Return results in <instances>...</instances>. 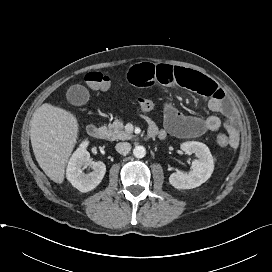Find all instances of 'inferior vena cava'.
<instances>
[{
    "instance_id": "1",
    "label": "inferior vena cava",
    "mask_w": 272,
    "mask_h": 272,
    "mask_svg": "<svg viewBox=\"0 0 272 272\" xmlns=\"http://www.w3.org/2000/svg\"><path fill=\"white\" fill-rule=\"evenodd\" d=\"M115 148L118 153L126 155L130 152L131 145L128 142H120L116 144Z\"/></svg>"
}]
</instances>
